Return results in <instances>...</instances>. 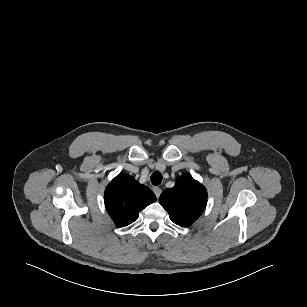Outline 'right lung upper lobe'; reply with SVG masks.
<instances>
[{
  "mask_svg": "<svg viewBox=\"0 0 307 307\" xmlns=\"http://www.w3.org/2000/svg\"><path fill=\"white\" fill-rule=\"evenodd\" d=\"M106 209L119 227H124L138 218V213L156 201L155 194L132 176L120 174L105 190Z\"/></svg>",
  "mask_w": 307,
  "mask_h": 307,
  "instance_id": "right-lung-upper-lobe-1",
  "label": "right lung upper lobe"
}]
</instances>
